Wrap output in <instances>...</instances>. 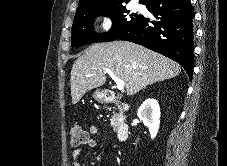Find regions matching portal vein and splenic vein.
Segmentation results:
<instances>
[{
  "label": "portal vein and splenic vein",
  "mask_w": 227,
  "mask_h": 166,
  "mask_svg": "<svg viewBox=\"0 0 227 166\" xmlns=\"http://www.w3.org/2000/svg\"><path fill=\"white\" fill-rule=\"evenodd\" d=\"M105 72L113 79L117 85V89L122 91L124 89L125 83L123 80L119 79L111 70L105 69Z\"/></svg>",
  "instance_id": "1"
}]
</instances>
